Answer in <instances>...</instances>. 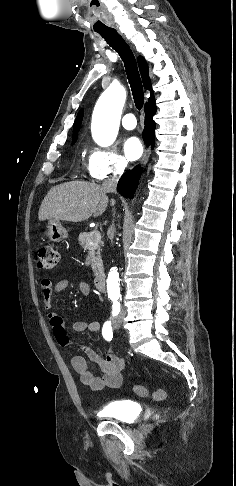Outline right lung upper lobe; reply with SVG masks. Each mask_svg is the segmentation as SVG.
<instances>
[{"mask_svg":"<svg viewBox=\"0 0 236 486\" xmlns=\"http://www.w3.org/2000/svg\"><path fill=\"white\" fill-rule=\"evenodd\" d=\"M138 65H139L141 77H142V80H143V85H144L145 89L150 90L149 100H152V99H154V94H153V91H152V88H151V82H150V78H149V69H148V66H147L145 59L141 56L138 57ZM82 118H83V109H81L79 111L77 118H76V121L74 123L73 138L78 137V132H79V129H80V126H81Z\"/></svg>","mask_w":236,"mask_h":486,"instance_id":"cb5924a9","label":"right lung upper lobe"}]
</instances>
